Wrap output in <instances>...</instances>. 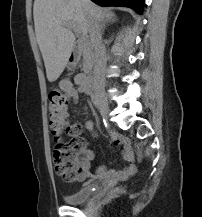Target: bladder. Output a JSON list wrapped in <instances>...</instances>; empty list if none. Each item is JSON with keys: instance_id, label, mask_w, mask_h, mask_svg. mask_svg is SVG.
Here are the masks:
<instances>
[{"instance_id": "1", "label": "bladder", "mask_w": 202, "mask_h": 217, "mask_svg": "<svg viewBox=\"0 0 202 217\" xmlns=\"http://www.w3.org/2000/svg\"><path fill=\"white\" fill-rule=\"evenodd\" d=\"M93 186V179H90L75 192L66 195L64 200L71 205L82 204L93 195Z\"/></svg>"}]
</instances>
